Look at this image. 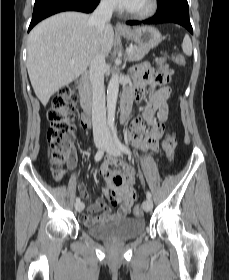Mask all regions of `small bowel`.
Instances as JSON below:
<instances>
[{
	"instance_id": "obj_1",
	"label": "small bowel",
	"mask_w": 229,
	"mask_h": 280,
	"mask_svg": "<svg viewBox=\"0 0 229 280\" xmlns=\"http://www.w3.org/2000/svg\"><path fill=\"white\" fill-rule=\"evenodd\" d=\"M148 97L145 99V94ZM125 93H130L138 103H143L144 118H136L129 130L131 143L141 151L156 150L158 139L161 135V120L168 115L167 100L171 95V89L168 86H160L155 81L154 74L147 64H139L134 74V84L128 88ZM157 118L154 119L153 115ZM146 122L151 123V128L146 126ZM75 162V153H71L70 166ZM117 166L120 171L114 172L112 167ZM100 174L106 182L103 193L108 197L109 194L115 193L117 201L112 204L118 206L116 212L103 200H98L86 207L88 213L102 212L103 215L94 217L91 214H84L80 217L84 225L95 224L99 222H109L117 218L126 217L131 210L134 201V190L131 187L135 180L136 170L128 166L120 158L108 156L100 166ZM120 175L124 178L123 183L115 184L114 177ZM79 194L83 199L89 198V193L85 184L79 185Z\"/></svg>"
}]
</instances>
